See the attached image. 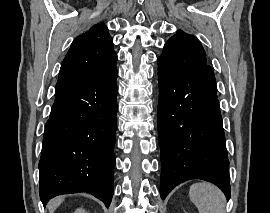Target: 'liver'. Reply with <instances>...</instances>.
<instances>
[{"label":"liver","mask_w":270,"mask_h":213,"mask_svg":"<svg viewBox=\"0 0 270 213\" xmlns=\"http://www.w3.org/2000/svg\"><path fill=\"white\" fill-rule=\"evenodd\" d=\"M63 200L64 197H58L50 201V203L48 204L49 212L53 213L56 210V208L63 202Z\"/></svg>","instance_id":"liver-1"}]
</instances>
